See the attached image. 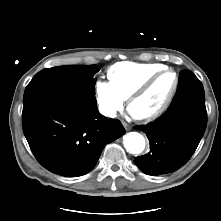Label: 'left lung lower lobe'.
<instances>
[{
    "mask_svg": "<svg viewBox=\"0 0 221 221\" xmlns=\"http://www.w3.org/2000/svg\"><path fill=\"white\" fill-rule=\"evenodd\" d=\"M206 125L203 85L191 71H182L168 110L152 123L137 127L146 133L151 149L134 163L147 175L176 171L196 150Z\"/></svg>",
    "mask_w": 221,
    "mask_h": 221,
    "instance_id": "left-lung-lower-lobe-1",
    "label": "left lung lower lobe"
}]
</instances>
